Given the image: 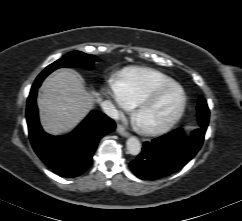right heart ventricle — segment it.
<instances>
[{
    "label": "right heart ventricle",
    "mask_w": 242,
    "mask_h": 221,
    "mask_svg": "<svg viewBox=\"0 0 242 221\" xmlns=\"http://www.w3.org/2000/svg\"><path fill=\"white\" fill-rule=\"evenodd\" d=\"M174 80L158 71L133 68L121 74L115 84L130 106H136L157 89L174 84Z\"/></svg>",
    "instance_id": "e07e8e85"
}]
</instances>
